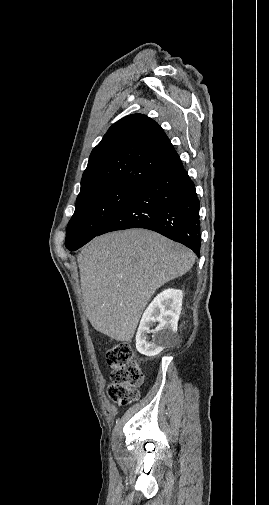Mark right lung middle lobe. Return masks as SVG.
<instances>
[{
    "mask_svg": "<svg viewBox=\"0 0 269 505\" xmlns=\"http://www.w3.org/2000/svg\"><path fill=\"white\" fill-rule=\"evenodd\" d=\"M138 188L135 185L113 183L80 192L75 212L68 223L66 248L77 250L97 236Z\"/></svg>",
    "mask_w": 269,
    "mask_h": 505,
    "instance_id": "obj_1",
    "label": "right lung middle lobe"
}]
</instances>
